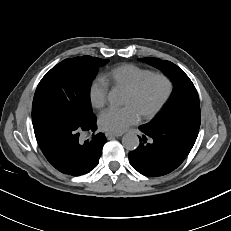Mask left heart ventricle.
<instances>
[{"label":"left heart ventricle","mask_w":231,"mask_h":231,"mask_svg":"<svg viewBox=\"0 0 231 231\" xmlns=\"http://www.w3.org/2000/svg\"><path fill=\"white\" fill-rule=\"evenodd\" d=\"M167 91L164 79L156 77L150 79L135 95L126 93L124 105L133 106L139 116L152 110L162 100Z\"/></svg>","instance_id":"b2bd125f"}]
</instances>
